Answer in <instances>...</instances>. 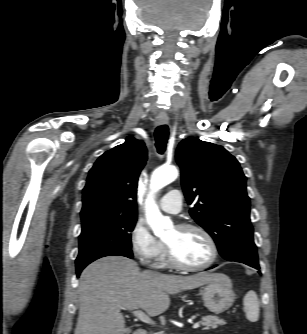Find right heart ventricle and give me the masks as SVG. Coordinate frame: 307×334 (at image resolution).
Returning <instances> with one entry per match:
<instances>
[{"instance_id": "right-heart-ventricle-1", "label": "right heart ventricle", "mask_w": 307, "mask_h": 334, "mask_svg": "<svg viewBox=\"0 0 307 334\" xmlns=\"http://www.w3.org/2000/svg\"><path fill=\"white\" fill-rule=\"evenodd\" d=\"M157 259H158V262H159L160 266L165 267V266L168 265V262H167V260L165 258L164 250H163V252L160 254V256Z\"/></svg>"}]
</instances>
